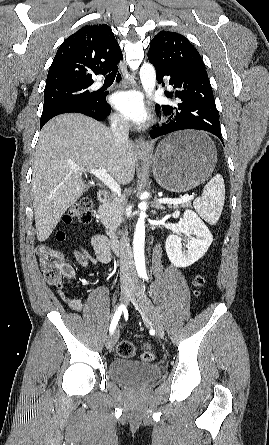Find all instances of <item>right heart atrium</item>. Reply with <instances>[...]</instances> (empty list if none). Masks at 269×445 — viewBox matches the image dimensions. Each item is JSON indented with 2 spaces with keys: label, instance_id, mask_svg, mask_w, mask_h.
Returning a JSON list of instances; mask_svg holds the SVG:
<instances>
[{
  "label": "right heart atrium",
  "instance_id": "1",
  "mask_svg": "<svg viewBox=\"0 0 269 445\" xmlns=\"http://www.w3.org/2000/svg\"><path fill=\"white\" fill-rule=\"evenodd\" d=\"M112 121L115 125L117 126H124L125 125V120L123 119V117H121L120 115L114 114L112 116Z\"/></svg>",
  "mask_w": 269,
  "mask_h": 445
}]
</instances>
